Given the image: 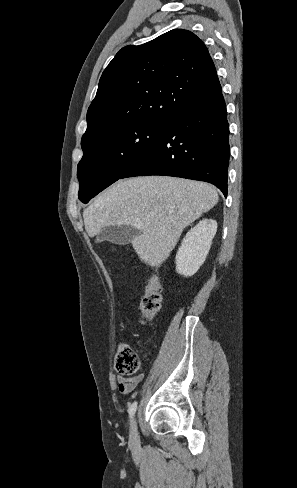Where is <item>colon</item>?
I'll use <instances>...</instances> for the list:
<instances>
[{
	"instance_id": "5ec220e1",
	"label": "colon",
	"mask_w": 297,
	"mask_h": 488,
	"mask_svg": "<svg viewBox=\"0 0 297 488\" xmlns=\"http://www.w3.org/2000/svg\"><path fill=\"white\" fill-rule=\"evenodd\" d=\"M161 291L160 287L152 282L146 286L144 296L140 303L142 312V322L151 321L160 309ZM141 366V360L133 348L122 343L118 346L115 356V368L124 376H131L138 372Z\"/></svg>"
}]
</instances>
